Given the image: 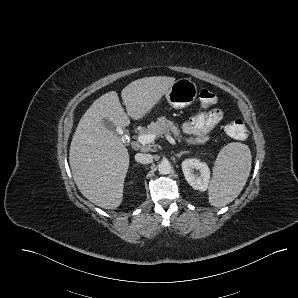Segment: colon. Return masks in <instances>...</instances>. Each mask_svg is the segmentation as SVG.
Segmentation results:
<instances>
[{
	"label": "colon",
	"instance_id": "5ec220e1",
	"mask_svg": "<svg viewBox=\"0 0 298 298\" xmlns=\"http://www.w3.org/2000/svg\"><path fill=\"white\" fill-rule=\"evenodd\" d=\"M199 101L202 107L208 108L217 101L216 95L209 90H201L199 93ZM225 132L231 138L237 140H245L248 138V130L245 123L241 119H235L225 126Z\"/></svg>",
	"mask_w": 298,
	"mask_h": 298
}]
</instances>
